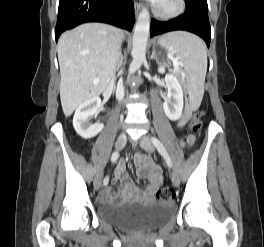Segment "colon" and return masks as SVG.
Masks as SVG:
<instances>
[{
    "label": "colon",
    "mask_w": 264,
    "mask_h": 247,
    "mask_svg": "<svg viewBox=\"0 0 264 247\" xmlns=\"http://www.w3.org/2000/svg\"><path fill=\"white\" fill-rule=\"evenodd\" d=\"M204 113L202 111H196L191 119L190 126L193 132L199 133L202 128V119ZM175 197V192L171 188H162L157 192V198L159 200H171Z\"/></svg>",
    "instance_id": "1"
}]
</instances>
